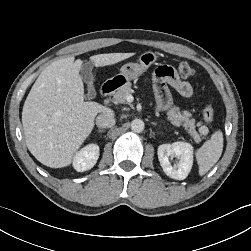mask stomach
<instances>
[{"instance_id":"1","label":"stomach","mask_w":251,"mask_h":251,"mask_svg":"<svg viewBox=\"0 0 251 251\" xmlns=\"http://www.w3.org/2000/svg\"><path fill=\"white\" fill-rule=\"evenodd\" d=\"M158 56L151 51L142 53L138 62H129L121 67L120 74L113 77L119 86L141 76L156 60Z\"/></svg>"}]
</instances>
